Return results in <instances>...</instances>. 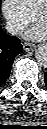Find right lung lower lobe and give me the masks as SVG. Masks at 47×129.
Returning a JSON list of instances; mask_svg holds the SVG:
<instances>
[{
    "label": "right lung lower lobe",
    "mask_w": 47,
    "mask_h": 129,
    "mask_svg": "<svg viewBox=\"0 0 47 129\" xmlns=\"http://www.w3.org/2000/svg\"><path fill=\"white\" fill-rule=\"evenodd\" d=\"M22 52L20 40L0 28V86L8 79L13 60Z\"/></svg>",
    "instance_id": "right-lung-lower-lobe-1"
}]
</instances>
